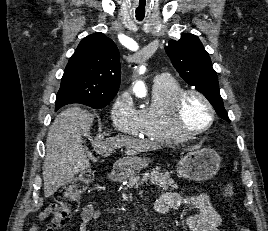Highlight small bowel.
<instances>
[{"instance_id":"c3829d8e","label":"small bowel","mask_w":268,"mask_h":231,"mask_svg":"<svg viewBox=\"0 0 268 231\" xmlns=\"http://www.w3.org/2000/svg\"><path fill=\"white\" fill-rule=\"evenodd\" d=\"M185 205H192L197 210L196 213L185 217V223L191 231H219V215L211 198L205 193L185 197L177 193L165 192L156 200L154 207L158 213H165ZM44 214L45 211L41 212L39 218L42 219ZM101 215V210L95 207L94 202L85 205L81 212L80 231H91V224ZM30 231H38V228L33 225Z\"/></svg>"}]
</instances>
